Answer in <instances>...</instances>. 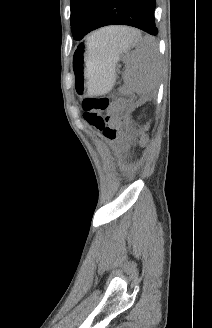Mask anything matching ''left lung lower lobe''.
I'll return each mask as SVG.
<instances>
[{
  "label": "left lung lower lobe",
  "mask_w": 212,
  "mask_h": 328,
  "mask_svg": "<svg viewBox=\"0 0 212 328\" xmlns=\"http://www.w3.org/2000/svg\"><path fill=\"white\" fill-rule=\"evenodd\" d=\"M155 7V0H103L90 32L103 26L120 24L156 36Z\"/></svg>",
  "instance_id": "1"
}]
</instances>
